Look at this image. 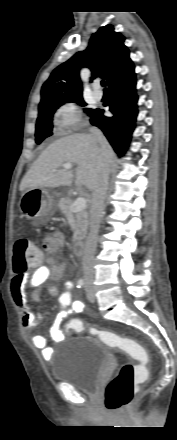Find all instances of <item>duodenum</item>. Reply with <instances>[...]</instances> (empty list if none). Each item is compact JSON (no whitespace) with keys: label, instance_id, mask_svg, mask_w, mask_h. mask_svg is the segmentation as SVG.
Returning a JSON list of instances; mask_svg holds the SVG:
<instances>
[{"label":"duodenum","instance_id":"410a0bca","mask_svg":"<svg viewBox=\"0 0 177 440\" xmlns=\"http://www.w3.org/2000/svg\"><path fill=\"white\" fill-rule=\"evenodd\" d=\"M73 249H74V253L77 256H82L84 254V252H85V244H84V242L81 241V240L76 241L74 243V245H73Z\"/></svg>","mask_w":177,"mask_h":440}]
</instances>
